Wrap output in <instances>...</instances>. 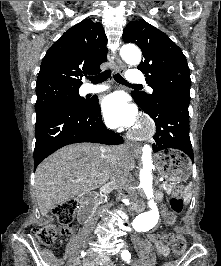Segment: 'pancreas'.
<instances>
[{"label":"pancreas","mask_w":221,"mask_h":266,"mask_svg":"<svg viewBox=\"0 0 221 266\" xmlns=\"http://www.w3.org/2000/svg\"><path fill=\"white\" fill-rule=\"evenodd\" d=\"M160 189L164 190L167 194H171L173 185L163 184L160 186Z\"/></svg>","instance_id":"1"}]
</instances>
